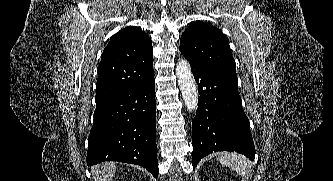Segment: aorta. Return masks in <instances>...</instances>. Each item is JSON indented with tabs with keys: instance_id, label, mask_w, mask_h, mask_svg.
<instances>
[{
	"instance_id": "aorta-1",
	"label": "aorta",
	"mask_w": 333,
	"mask_h": 181,
	"mask_svg": "<svg viewBox=\"0 0 333 181\" xmlns=\"http://www.w3.org/2000/svg\"><path fill=\"white\" fill-rule=\"evenodd\" d=\"M176 76L187 110L189 112L196 110L198 104L197 85L187 60H179L176 65Z\"/></svg>"
}]
</instances>
